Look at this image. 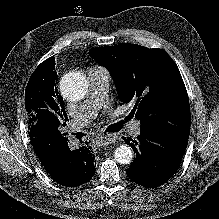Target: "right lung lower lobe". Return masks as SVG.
Listing matches in <instances>:
<instances>
[{"instance_id":"98d812e1","label":"right lung lower lobe","mask_w":219,"mask_h":219,"mask_svg":"<svg viewBox=\"0 0 219 219\" xmlns=\"http://www.w3.org/2000/svg\"><path fill=\"white\" fill-rule=\"evenodd\" d=\"M29 136L40 162L59 184L77 187L93 177L95 157L87 146L71 151L68 138L49 127L30 130Z\"/></svg>"}]
</instances>
